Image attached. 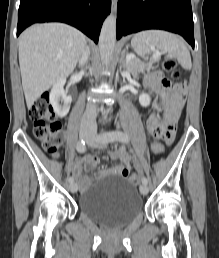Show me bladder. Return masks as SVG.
Wrapping results in <instances>:
<instances>
[{"instance_id":"bladder-1","label":"bladder","mask_w":219,"mask_h":258,"mask_svg":"<svg viewBox=\"0 0 219 258\" xmlns=\"http://www.w3.org/2000/svg\"><path fill=\"white\" fill-rule=\"evenodd\" d=\"M78 207L108 227H121L141 213L144 202L126 179L104 174L80 194Z\"/></svg>"}]
</instances>
